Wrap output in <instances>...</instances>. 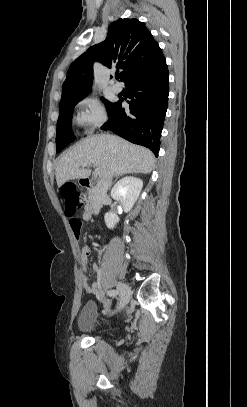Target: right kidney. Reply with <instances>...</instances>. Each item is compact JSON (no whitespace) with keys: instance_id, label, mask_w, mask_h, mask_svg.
Returning <instances> with one entry per match:
<instances>
[{"instance_id":"1","label":"right kidney","mask_w":247,"mask_h":407,"mask_svg":"<svg viewBox=\"0 0 247 407\" xmlns=\"http://www.w3.org/2000/svg\"><path fill=\"white\" fill-rule=\"evenodd\" d=\"M143 187V181L136 177H125L117 182L111 191V197L120 202L124 212H129L138 199ZM105 224L113 229L119 222L117 214L108 212L104 216Z\"/></svg>"}]
</instances>
